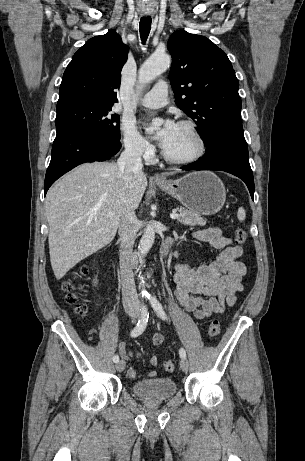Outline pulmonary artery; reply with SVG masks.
Masks as SVG:
<instances>
[{"mask_svg":"<svg viewBox=\"0 0 305 461\" xmlns=\"http://www.w3.org/2000/svg\"><path fill=\"white\" fill-rule=\"evenodd\" d=\"M168 84L166 81H159L145 94L142 104L148 108H159L168 102Z\"/></svg>","mask_w":305,"mask_h":461,"instance_id":"obj_1","label":"pulmonary artery"}]
</instances>
